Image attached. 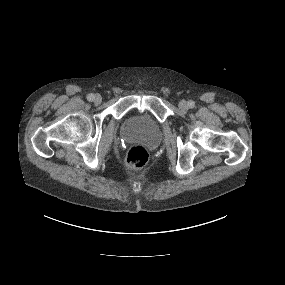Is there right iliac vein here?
I'll use <instances>...</instances> for the list:
<instances>
[{"mask_svg": "<svg viewBox=\"0 0 285 285\" xmlns=\"http://www.w3.org/2000/svg\"><path fill=\"white\" fill-rule=\"evenodd\" d=\"M101 102H102V97L99 94L95 95L94 96V103L96 105H99Z\"/></svg>", "mask_w": 285, "mask_h": 285, "instance_id": "right-iliac-vein-1", "label": "right iliac vein"}]
</instances>
